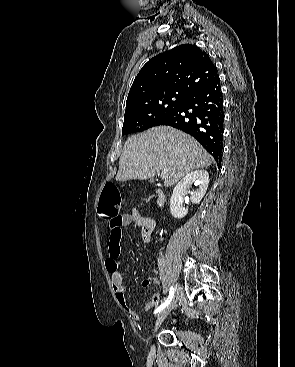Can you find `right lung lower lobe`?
<instances>
[{"label":"right lung lower lobe","instance_id":"right-lung-lower-lobe-1","mask_svg":"<svg viewBox=\"0 0 295 367\" xmlns=\"http://www.w3.org/2000/svg\"><path fill=\"white\" fill-rule=\"evenodd\" d=\"M223 98L219 77L190 94L184 103L153 126L168 125L193 136L221 166L223 151Z\"/></svg>","mask_w":295,"mask_h":367}]
</instances>
